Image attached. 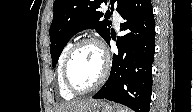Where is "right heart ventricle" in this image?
I'll return each mask as SVG.
<instances>
[{
	"instance_id": "1",
	"label": "right heart ventricle",
	"mask_w": 193,
	"mask_h": 112,
	"mask_svg": "<svg viewBox=\"0 0 193 112\" xmlns=\"http://www.w3.org/2000/svg\"><path fill=\"white\" fill-rule=\"evenodd\" d=\"M73 45L72 41H68L64 47L62 48L59 58H58V63H57V83H58V90L59 94L61 95L62 98L66 100H70L74 97V94H72L70 91L65 86L64 79H63V64L65 57Z\"/></svg>"
}]
</instances>
